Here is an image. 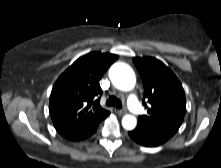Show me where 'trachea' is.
Segmentation results:
<instances>
[{"instance_id":"obj_1","label":"trachea","mask_w":221,"mask_h":168,"mask_svg":"<svg viewBox=\"0 0 221 168\" xmlns=\"http://www.w3.org/2000/svg\"><path fill=\"white\" fill-rule=\"evenodd\" d=\"M106 105L108 106H115L116 108L121 109L122 108V103L121 101L116 98L115 96H111L107 101H106Z\"/></svg>"}]
</instances>
